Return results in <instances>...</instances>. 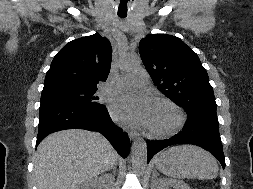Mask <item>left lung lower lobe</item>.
Here are the masks:
<instances>
[{
	"label": "left lung lower lobe",
	"instance_id": "1",
	"mask_svg": "<svg viewBox=\"0 0 253 189\" xmlns=\"http://www.w3.org/2000/svg\"><path fill=\"white\" fill-rule=\"evenodd\" d=\"M180 143L194 144L208 150L225 168V157L219 134L218 119L188 116L179 134L168 140L147 141V162L162 149Z\"/></svg>",
	"mask_w": 253,
	"mask_h": 189
}]
</instances>
